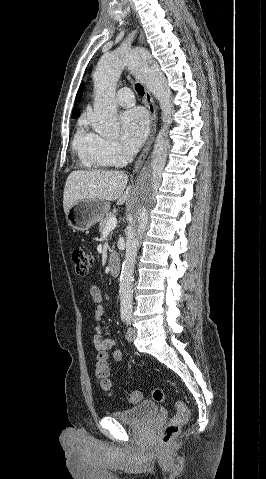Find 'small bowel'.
<instances>
[{"label":"small bowel","instance_id":"small-bowel-1","mask_svg":"<svg viewBox=\"0 0 266 479\" xmlns=\"http://www.w3.org/2000/svg\"><path fill=\"white\" fill-rule=\"evenodd\" d=\"M90 293L94 301L97 303V306L95 307V310H94V320L96 322V325L94 327L95 348L98 351L111 353L113 360L116 362H119L122 360V357H123L122 352L115 347L116 341L114 339L105 336L99 324L105 313L104 307L100 304L102 300L101 291L97 286H91Z\"/></svg>","mask_w":266,"mask_h":479}]
</instances>
